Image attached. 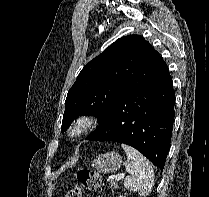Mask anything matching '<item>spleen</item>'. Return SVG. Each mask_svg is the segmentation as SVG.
Wrapping results in <instances>:
<instances>
[{
    "mask_svg": "<svg viewBox=\"0 0 209 197\" xmlns=\"http://www.w3.org/2000/svg\"><path fill=\"white\" fill-rule=\"evenodd\" d=\"M126 152V171L129 176L124 181V186L138 192L140 196L148 195L154 185V171L150 162L135 148L121 144Z\"/></svg>",
    "mask_w": 209,
    "mask_h": 197,
    "instance_id": "obj_1",
    "label": "spleen"
}]
</instances>
